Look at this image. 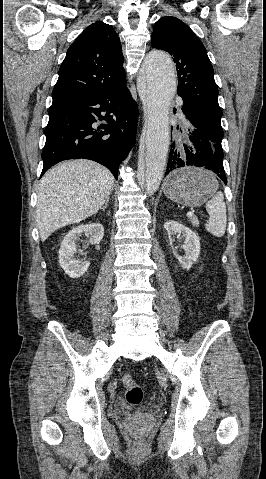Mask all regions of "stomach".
I'll use <instances>...</instances> for the list:
<instances>
[{
  "label": "stomach",
  "mask_w": 266,
  "mask_h": 479,
  "mask_svg": "<svg viewBox=\"0 0 266 479\" xmlns=\"http://www.w3.org/2000/svg\"><path fill=\"white\" fill-rule=\"evenodd\" d=\"M218 188L212 173L199 167H185L170 173L164 194L174 202L197 207L211 198Z\"/></svg>",
  "instance_id": "1"
}]
</instances>
